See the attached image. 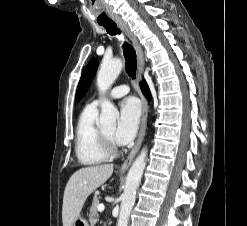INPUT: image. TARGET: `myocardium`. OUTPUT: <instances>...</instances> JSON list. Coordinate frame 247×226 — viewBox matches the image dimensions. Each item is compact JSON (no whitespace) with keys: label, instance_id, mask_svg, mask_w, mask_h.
<instances>
[{"label":"myocardium","instance_id":"obj_1","mask_svg":"<svg viewBox=\"0 0 247 226\" xmlns=\"http://www.w3.org/2000/svg\"><path fill=\"white\" fill-rule=\"evenodd\" d=\"M99 143L102 151L107 157L114 156L118 151V147L114 141L107 137L102 130H99Z\"/></svg>","mask_w":247,"mask_h":226}]
</instances>
